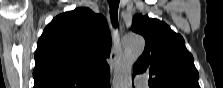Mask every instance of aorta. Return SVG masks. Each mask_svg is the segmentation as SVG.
Here are the masks:
<instances>
[{
  "label": "aorta",
  "mask_w": 223,
  "mask_h": 88,
  "mask_svg": "<svg viewBox=\"0 0 223 88\" xmlns=\"http://www.w3.org/2000/svg\"><path fill=\"white\" fill-rule=\"evenodd\" d=\"M145 47L144 38L140 35L130 34L124 39V52L118 60L114 75L113 87L114 88H131L132 79L131 72L132 66L138 57L142 54Z\"/></svg>",
  "instance_id": "762f6f07"
}]
</instances>
